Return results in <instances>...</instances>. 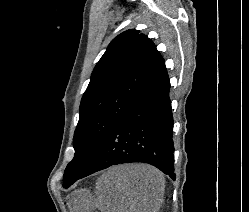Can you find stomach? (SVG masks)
Instances as JSON below:
<instances>
[{
  "instance_id": "0dacf381",
  "label": "stomach",
  "mask_w": 249,
  "mask_h": 212,
  "mask_svg": "<svg viewBox=\"0 0 249 212\" xmlns=\"http://www.w3.org/2000/svg\"><path fill=\"white\" fill-rule=\"evenodd\" d=\"M94 196L90 190H75L68 196L70 212H92Z\"/></svg>"
}]
</instances>
